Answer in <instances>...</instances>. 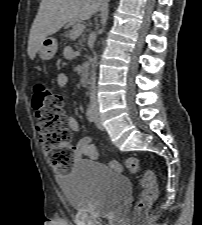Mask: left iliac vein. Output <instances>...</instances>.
<instances>
[{"label":"left iliac vein","instance_id":"4c4485c4","mask_svg":"<svg viewBox=\"0 0 202 225\" xmlns=\"http://www.w3.org/2000/svg\"><path fill=\"white\" fill-rule=\"evenodd\" d=\"M94 111H95V124H96L97 128L103 129L104 127H103L101 118L99 116V113H98V110L96 107L94 108Z\"/></svg>","mask_w":202,"mask_h":225}]
</instances>
